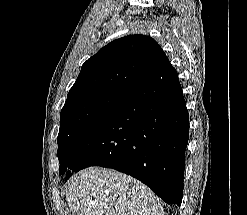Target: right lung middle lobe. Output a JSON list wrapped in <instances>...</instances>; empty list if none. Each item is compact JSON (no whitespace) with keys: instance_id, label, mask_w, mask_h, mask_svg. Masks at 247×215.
<instances>
[{"instance_id":"dd1d6c3e","label":"right lung middle lobe","mask_w":247,"mask_h":215,"mask_svg":"<svg viewBox=\"0 0 247 215\" xmlns=\"http://www.w3.org/2000/svg\"><path fill=\"white\" fill-rule=\"evenodd\" d=\"M131 91L124 88H102L68 94L61 110L57 138L60 175L67 172L71 153L83 134L115 111Z\"/></svg>"}]
</instances>
